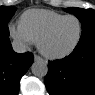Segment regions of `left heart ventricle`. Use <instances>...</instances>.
<instances>
[{"label":"left heart ventricle","mask_w":95,"mask_h":95,"mask_svg":"<svg viewBox=\"0 0 95 95\" xmlns=\"http://www.w3.org/2000/svg\"><path fill=\"white\" fill-rule=\"evenodd\" d=\"M79 34V23L74 18L63 21L45 40L44 48L50 53H61L73 46Z\"/></svg>","instance_id":"obj_1"}]
</instances>
